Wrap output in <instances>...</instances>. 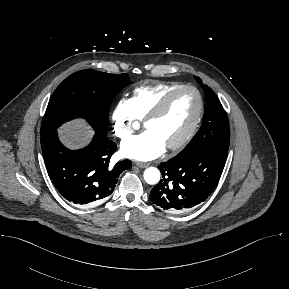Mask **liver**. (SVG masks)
I'll list each match as a JSON object with an SVG mask.
<instances>
[{
	"label": "liver",
	"mask_w": 289,
	"mask_h": 289,
	"mask_svg": "<svg viewBox=\"0 0 289 289\" xmlns=\"http://www.w3.org/2000/svg\"><path fill=\"white\" fill-rule=\"evenodd\" d=\"M59 134L66 146L78 148L89 141L93 132L83 120H77L63 125L59 129Z\"/></svg>",
	"instance_id": "liver-1"
}]
</instances>
